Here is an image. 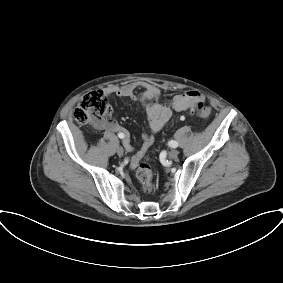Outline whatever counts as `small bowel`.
I'll use <instances>...</instances> for the list:
<instances>
[{
    "mask_svg": "<svg viewBox=\"0 0 283 283\" xmlns=\"http://www.w3.org/2000/svg\"><path fill=\"white\" fill-rule=\"evenodd\" d=\"M141 90L140 100L146 112L148 125L152 133L160 131L163 126L170 120L174 112L185 111L196 106L198 102H202L204 97L201 93L195 90H190L181 94L175 95L170 102V105H164L158 101L161 89L152 83H131L124 86H109L102 93L104 95H116L120 98L136 100V91ZM104 128L110 132L123 133L126 139L124 146L128 151H133L134 148L129 142L128 134L124 127L116 120H108ZM141 149L132 157L130 167H136L145 151L152 145L154 138L152 134H145Z\"/></svg>",
    "mask_w": 283,
    "mask_h": 283,
    "instance_id": "c3829d8e",
    "label": "small bowel"
}]
</instances>
